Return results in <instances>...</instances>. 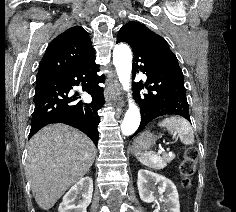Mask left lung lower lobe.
<instances>
[{"label": "left lung lower lobe", "mask_w": 236, "mask_h": 212, "mask_svg": "<svg viewBox=\"0 0 236 212\" xmlns=\"http://www.w3.org/2000/svg\"><path fill=\"white\" fill-rule=\"evenodd\" d=\"M119 42H126L132 47L133 72L139 69L147 75L145 85L141 82L133 85L134 99L140 106L141 123L131 138L160 116L180 115L190 121L183 73L172 51L154 46H139L124 35L117 37ZM144 86L149 92L140 94Z\"/></svg>", "instance_id": "obj_1"}]
</instances>
